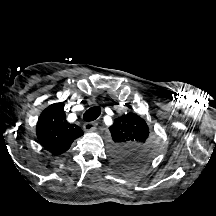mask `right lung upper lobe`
Returning a JSON list of instances; mask_svg holds the SVG:
<instances>
[{
  "mask_svg": "<svg viewBox=\"0 0 216 216\" xmlns=\"http://www.w3.org/2000/svg\"><path fill=\"white\" fill-rule=\"evenodd\" d=\"M62 103H54L40 115L36 134L40 144L57 156L67 151L72 142L83 135L81 128L65 119Z\"/></svg>",
  "mask_w": 216,
  "mask_h": 216,
  "instance_id": "obj_1",
  "label": "right lung upper lobe"
}]
</instances>
